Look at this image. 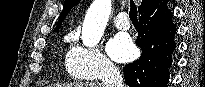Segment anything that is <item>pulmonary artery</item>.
Segmentation results:
<instances>
[{
	"label": "pulmonary artery",
	"mask_w": 205,
	"mask_h": 87,
	"mask_svg": "<svg viewBox=\"0 0 205 87\" xmlns=\"http://www.w3.org/2000/svg\"><path fill=\"white\" fill-rule=\"evenodd\" d=\"M114 25L120 30H128L130 28V22L126 12L119 13L114 19Z\"/></svg>",
	"instance_id": "obj_1"
}]
</instances>
